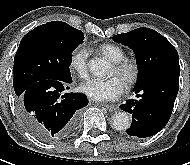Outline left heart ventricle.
I'll return each instance as SVG.
<instances>
[{
	"mask_svg": "<svg viewBox=\"0 0 190 165\" xmlns=\"http://www.w3.org/2000/svg\"><path fill=\"white\" fill-rule=\"evenodd\" d=\"M110 76H113V77L116 76V77H118L124 83L123 77L116 72V70L114 69V67L111 70Z\"/></svg>",
	"mask_w": 190,
	"mask_h": 165,
	"instance_id": "left-heart-ventricle-1",
	"label": "left heart ventricle"
}]
</instances>
